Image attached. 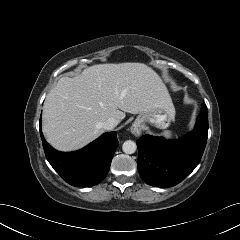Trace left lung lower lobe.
Wrapping results in <instances>:
<instances>
[{
	"mask_svg": "<svg viewBox=\"0 0 240 240\" xmlns=\"http://www.w3.org/2000/svg\"><path fill=\"white\" fill-rule=\"evenodd\" d=\"M208 134V110L202 104L196 130L180 140L144 135L137 140L138 171L149 185L172 187L199 164Z\"/></svg>",
	"mask_w": 240,
	"mask_h": 240,
	"instance_id": "0a47b994",
	"label": "left lung lower lobe"
}]
</instances>
